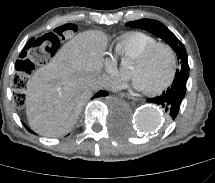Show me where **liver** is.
<instances>
[{"label": "liver", "instance_id": "liver-1", "mask_svg": "<svg viewBox=\"0 0 215 183\" xmlns=\"http://www.w3.org/2000/svg\"><path fill=\"white\" fill-rule=\"evenodd\" d=\"M107 37L100 31L77 34L27 83L26 114L31 129L46 137L69 133L85 102L90 84L101 76Z\"/></svg>", "mask_w": 215, "mask_h": 183}]
</instances>
